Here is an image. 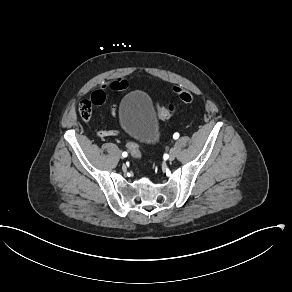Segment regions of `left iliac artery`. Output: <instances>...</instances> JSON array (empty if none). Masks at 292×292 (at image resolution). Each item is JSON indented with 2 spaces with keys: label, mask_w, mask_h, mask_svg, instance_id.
I'll list each match as a JSON object with an SVG mask.
<instances>
[{
  "label": "left iliac artery",
  "mask_w": 292,
  "mask_h": 292,
  "mask_svg": "<svg viewBox=\"0 0 292 292\" xmlns=\"http://www.w3.org/2000/svg\"><path fill=\"white\" fill-rule=\"evenodd\" d=\"M179 137V134L178 133H175L174 135H173V138L174 139H177Z\"/></svg>",
  "instance_id": "left-iliac-artery-1"
}]
</instances>
